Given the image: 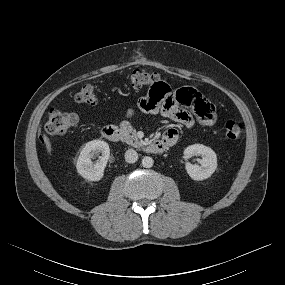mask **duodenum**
<instances>
[{
  "instance_id": "duodenum-1",
  "label": "duodenum",
  "mask_w": 285,
  "mask_h": 285,
  "mask_svg": "<svg viewBox=\"0 0 285 285\" xmlns=\"http://www.w3.org/2000/svg\"><path fill=\"white\" fill-rule=\"evenodd\" d=\"M102 135L105 139L111 142H118L121 139V133L117 126L115 125H106L102 128ZM170 145L164 140H154L149 143L146 147V151L149 153H162L164 152Z\"/></svg>"
}]
</instances>
